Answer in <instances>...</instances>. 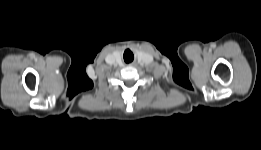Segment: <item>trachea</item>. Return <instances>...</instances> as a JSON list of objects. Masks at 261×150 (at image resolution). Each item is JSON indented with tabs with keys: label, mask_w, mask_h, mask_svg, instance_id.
Wrapping results in <instances>:
<instances>
[{
	"label": "trachea",
	"mask_w": 261,
	"mask_h": 150,
	"mask_svg": "<svg viewBox=\"0 0 261 150\" xmlns=\"http://www.w3.org/2000/svg\"><path fill=\"white\" fill-rule=\"evenodd\" d=\"M133 59H134L133 53L130 50H126L124 52V61L126 63H129V62L133 61Z\"/></svg>",
	"instance_id": "3493384b"
}]
</instances>
